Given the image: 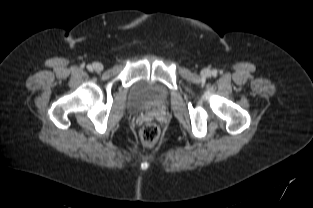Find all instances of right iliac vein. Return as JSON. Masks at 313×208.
<instances>
[{"label":"right iliac vein","instance_id":"obj_1","mask_svg":"<svg viewBox=\"0 0 313 208\" xmlns=\"http://www.w3.org/2000/svg\"><path fill=\"white\" fill-rule=\"evenodd\" d=\"M92 68L94 71L100 72L103 70V65L99 62H95L93 63Z\"/></svg>","mask_w":313,"mask_h":208}]
</instances>
